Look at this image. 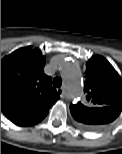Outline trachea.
<instances>
[{
    "label": "trachea",
    "mask_w": 122,
    "mask_h": 154,
    "mask_svg": "<svg viewBox=\"0 0 122 154\" xmlns=\"http://www.w3.org/2000/svg\"><path fill=\"white\" fill-rule=\"evenodd\" d=\"M61 85H62V80L59 77L54 78L53 86L54 87H61Z\"/></svg>",
    "instance_id": "1"
}]
</instances>
